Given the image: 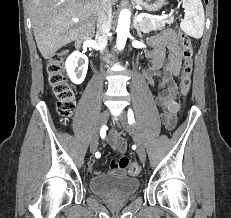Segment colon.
I'll return each mask as SVG.
<instances>
[{
  "label": "colon",
  "mask_w": 231,
  "mask_h": 218,
  "mask_svg": "<svg viewBox=\"0 0 231 218\" xmlns=\"http://www.w3.org/2000/svg\"><path fill=\"white\" fill-rule=\"evenodd\" d=\"M179 44L182 55L185 59L184 74L180 82V91L186 96L191 85V59L193 47L190 38L182 31L178 33ZM66 51L62 50L53 54L46 63V73L48 83L54 97L57 99V110L64 121H67L75 109V91L69 82L64 70ZM120 166L123 167L130 176H137L141 172V167L137 162H131L127 158L120 159Z\"/></svg>",
  "instance_id": "colon-1"
}]
</instances>
